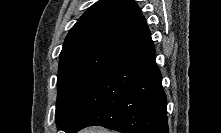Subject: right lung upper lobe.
Listing matches in <instances>:
<instances>
[{"instance_id":"cb5924a9","label":"right lung upper lobe","mask_w":221,"mask_h":133,"mask_svg":"<svg viewBox=\"0 0 221 133\" xmlns=\"http://www.w3.org/2000/svg\"><path fill=\"white\" fill-rule=\"evenodd\" d=\"M152 48L150 30L134 1L100 0L69 31L58 70L108 69Z\"/></svg>"}]
</instances>
